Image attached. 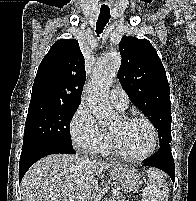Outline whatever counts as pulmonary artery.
I'll list each match as a JSON object with an SVG mask.
<instances>
[{
	"mask_svg": "<svg viewBox=\"0 0 196 201\" xmlns=\"http://www.w3.org/2000/svg\"><path fill=\"white\" fill-rule=\"evenodd\" d=\"M110 102L111 104L119 109V110H124L128 106V96L126 92L120 88V87H115L110 91Z\"/></svg>",
	"mask_w": 196,
	"mask_h": 201,
	"instance_id": "1",
	"label": "pulmonary artery"
}]
</instances>
